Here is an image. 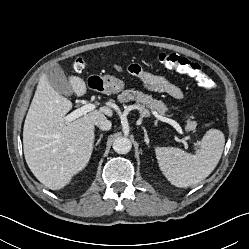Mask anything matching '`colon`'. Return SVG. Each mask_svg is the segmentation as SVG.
Returning <instances> with one entry per match:
<instances>
[{
  "mask_svg": "<svg viewBox=\"0 0 249 249\" xmlns=\"http://www.w3.org/2000/svg\"><path fill=\"white\" fill-rule=\"evenodd\" d=\"M158 61L163 66L186 74L197 81L205 89L213 86L212 79L202 70L201 66L175 53H160ZM74 72L80 73L85 69V62L81 58H75L72 62Z\"/></svg>",
  "mask_w": 249,
  "mask_h": 249,
  "instance_id": "1",
  "label": "colon"
}]
</instances>
